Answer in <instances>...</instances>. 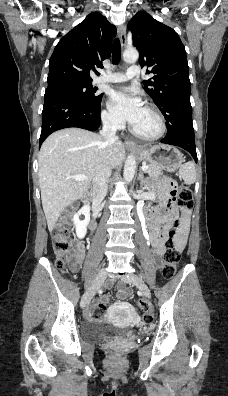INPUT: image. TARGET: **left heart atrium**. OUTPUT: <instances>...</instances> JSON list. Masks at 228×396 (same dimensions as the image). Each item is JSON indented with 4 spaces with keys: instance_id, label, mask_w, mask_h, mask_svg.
<instances>
[{
    "instance_id": "39dd6f15",
    "label": "left heart atrium",
    "mask_w": 228,
    "mask_h": 396,
    "mask_svg": "<svg viewBox=\"0 0 228 396\" xmlns=\"http://www.w3.org/2000/svg\"><path fill=\"white\" fill-rule=\"evenodd\" d=\"M112 115L120 122L135 125L144 109L139 96L125 90L113 91L108 100Z\"/></svg>"
}]
</instances>
